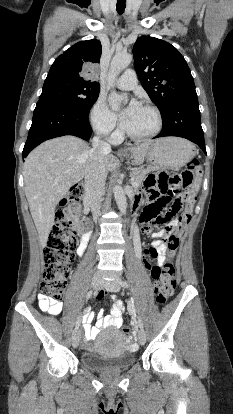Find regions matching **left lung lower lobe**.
Returning a JSON list of instances; mask_svg holds the SVG:
<instances>
[{
  "instance_id": "obj_1",
  "label": "left lung lower lobe",
  "mask_w": 233,
  "mask_h": 414,
  "mask_svg": "<svg viewBox=\"0 0 233 414\" xmlns=\"http://www.w3.org/2000/svg\"><path fill=\"white\" fill-rule=\"evenodd\" d=\"M162 124V131L155 138L165 136L186 138L196 143L206 154L197 96L176 101L162 116Z\"/></svg>"
}]
</instances>
